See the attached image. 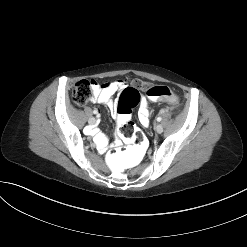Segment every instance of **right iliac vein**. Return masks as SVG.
<instances>
[{"instance_id": "63e3f726", "label": "right iliac vein", "mask_w": 247, "mask_h": 247, "mask_svg": "<svg viewBox=\"0 0 247 247\" xmlns=\"http://www.w3.org/2000/svg\"><path fill=\"white\" fill-rule=\"evenodd\" d=\"M95 122H96V119L94 117H90L89 120H88V123L90 125H93Z\"/></svg>"}]
</instances>
